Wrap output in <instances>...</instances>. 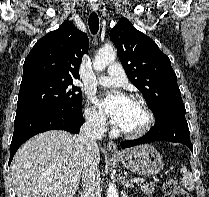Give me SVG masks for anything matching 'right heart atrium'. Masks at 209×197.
<instances>
[{"label": "right heart atrium", "instance_id": "obj_1", "mask_svg": "<svg viewBox=\"0 0 209 197\" xmlns=\"http://www.w3.org/2000/svg\"><path fill=\"white\" fill-rule=\"evenodd\" d=\"M87 123L96 130H104L107 126V120L103 113L93 105L92 100L88 99L87 106L84 111Z\"/></svg>", "mask_w": 209, "mask_h": 197}]
</instances>
